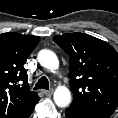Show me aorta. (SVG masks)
<instances>
[{"instance_id":"762f6f07","label":"aorta","mask_w":118,"mask_h":118,"mask_svg":"<svg viewBox=\"0 0 118 118\" xmlns=\"http://www.w3.org/2000/svg\"><path fill=\"white\" fill-rule=\"evenodd\" d=\"M37 59L41 66L48 70L53 71L59 67V60L56 54L50 50H41ZM53 98L58 107H67L71 103V93L65 86L57 87Z\"/></svg>"}]
</instances>
